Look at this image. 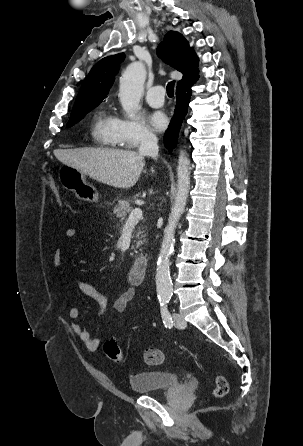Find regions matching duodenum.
Listing matches in <instances>:
<instances>
[{
    "mask_svg": "<svg viewBox=\"0 0 303 446\" xmlns=\"http://www.w3.org/2000/svg\"><path fill=\"white\" fill-rule=\"evenodd\" d=\"M147 266H148L147 255L138 256L130 269L131 281L134 283L141 282L145 277Z\"/></svg>",
    "mask_w": 303,
    "mask_h": 446,
    "instance_id": "1",
    "label": "duodenum"
}]
</instances>
